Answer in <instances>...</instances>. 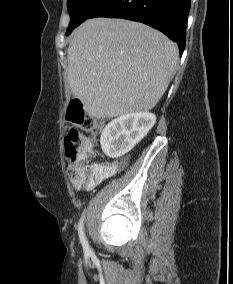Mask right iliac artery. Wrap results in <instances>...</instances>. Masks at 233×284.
<instances>
[{
    "instance_id": "1",
    "label": "right iliac artery",
    "mask_w": 233,
    "mask_h": 284,
    "mask_svg": "<svg viewBox=\"0 0 233 284\" xmlns=\"http://www.w3.org/2000/svg\"><path fill=\"white\" fill-rule=\"evenodd\" d=\"M78 230H79V237H80L81 243H82L84 249L88 250L89 246H88V243L86 241V238H85V235H84V231H83V218H81V220L79 222Z\"/></svg>"
}]
</instances>
